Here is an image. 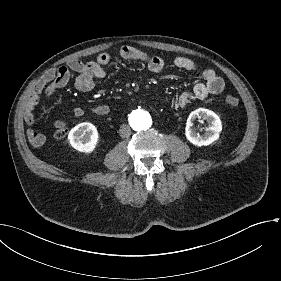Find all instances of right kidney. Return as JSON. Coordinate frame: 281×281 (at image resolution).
I'll return each mask as SVG.
<instances>
[{
  "label": "right kidney",
  "mask_w": 281,
  "mask_h": 281,
  "mask_svg": "<svg viewBox=\"0 0 281 281\" xmlns=\"http://www.w3.org/2000/svg\"><path fill=\"white\" fill-rule=\"evenodd\" d=\"M98 141V131L89 122H83L71 129V145L80 152L91 153Z\"/></svg>",
  "instance_id": "right-kidney-1"
}]
</instances>
